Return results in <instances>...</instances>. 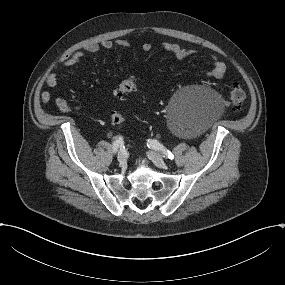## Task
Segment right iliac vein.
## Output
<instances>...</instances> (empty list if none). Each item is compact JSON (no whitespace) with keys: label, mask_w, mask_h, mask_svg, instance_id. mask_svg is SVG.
<instances>
[{"label":"right iliac vein","mask_w":285,"mask_h":285,"mask_svg":"<svg viewBox=\"0 0 285 285\" xmlns=\"http://www.w3.org/2000/svg\"><path fill=\"white\" fill-rule=\"evenodd\" d=\"M117 159H118V162L122 164L126 161V155L120 152L117 156Z\"/></svg>","instance_id":"obj_1"}]
</instances>
